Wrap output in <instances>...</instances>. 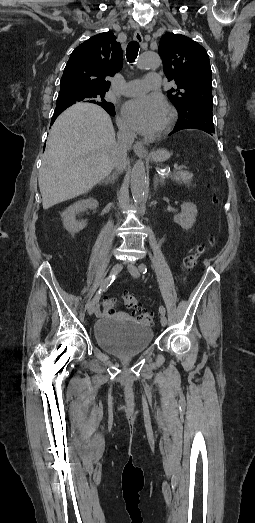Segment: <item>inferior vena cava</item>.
Instances as JSON below:
<instances>
[{"label": "inferior vena cava", "mask_w": 255, "mask_h": 523, "mask_svg": "<svg viewBox=\"0 0 255 523\" xmlns=\"http://www.w3.org/2000/svg\"><path fill=\"white\" fill-rule=\"evenodd\" d=\"M119 132L117 134L118 142L116 146V150L118 152L116 164H115V170L117 174H120V172H123L124 168H126V156L129 148H131L134 138H136L135 132L133 130H130L128 126H125V124H119L118 126Z\"/></svg>", "instance_id": "inferior-vena-cava-1"}]
</instances>
